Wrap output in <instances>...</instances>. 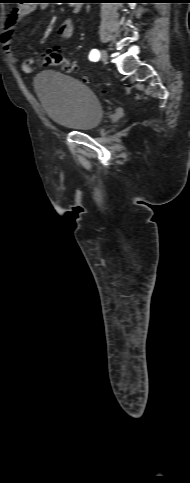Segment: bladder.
I'll use <instances>...</instances> for the list:
<instances>
[{"mask_svg": "<svg viewBox=\"0 0 190 483\" xmlns=\"http://www.w3.org/2000/svg\"><path fill=\"white\" fill-rule=\"evenodd\" d=\"M33 87L49 119L61 128L80 132L101 124V102L82 82L47 70L37 75Z\"/></svg>", "mask_w": 190, "mask_h": 483, "instance_id": "31cf9c89", "label": "bladder"}]
</instances>
